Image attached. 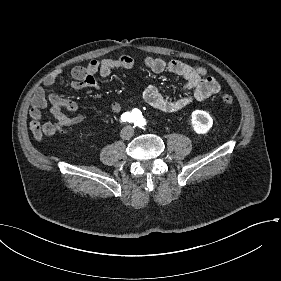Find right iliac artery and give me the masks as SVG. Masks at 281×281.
Listing matches in <instances>:
<instances>
[{"mask_svg": "<svg viewBox=\"0 0 281 281\" xmlns=\"http://www.w3.org/2000/svg\"><path fill=\"white\" fill-rule=\"evenodd\" d=\"M132 115L129 112H125L121 115L120 121L121 122H131Z\"/></svg>", "mask_w": 281, "mask_h": 281, "instance_id": "1", "label": "right iliac artery"}]
</instances>
